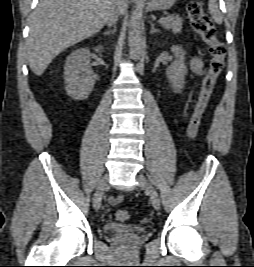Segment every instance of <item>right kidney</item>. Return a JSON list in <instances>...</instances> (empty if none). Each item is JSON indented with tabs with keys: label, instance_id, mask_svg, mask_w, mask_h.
Returning a JSON list of instances; mask_svg holds the SVG:
<instances>
[{
	"label": "right kidney",
	"instance_id": "right-kidney-1",
	"mask_svg": "<svg viewBox=\"0 0 254 267\" xmlns=\"http://www.w3.org/2000/svg\"><path fill=\"white\" fill-rule=\"evenodd\" d=\"M102 46L95 48L101 52ZM96 75L90 66V52L86 48L73 51L67 58L64 67L65 90L74 100L87 99L93 90Z\"/></svg>",
	"mask_w": 254,
	"mask_h": 267
}]
</instances>
